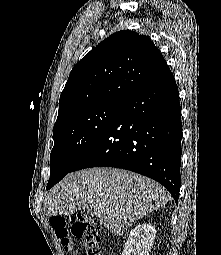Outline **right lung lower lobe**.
Instances as JSON below:
<instances>
[{"instance_id": "1", "label": "right lung lower lobe", "mask_w": 221, "mask_h": 255, "mask_svg": "<svg viewBox=\"0 0 221 255\" xmlns=\"http://www.w3.org/2000/svg\"><path fill=\"white\" fill-rule=\"evenodd\" d=\"M181 137L179 92L167 67L120 103L70 172L101 166L131 170L161 183L178 203Z\"/></svg>"}]
</instances>
